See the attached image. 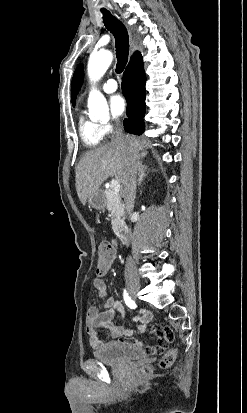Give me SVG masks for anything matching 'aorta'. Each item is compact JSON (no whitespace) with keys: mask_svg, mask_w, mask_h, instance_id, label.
Returning <instances> with one entry per match:
<instances>
[{"mask_svg":"<svg viewBox=\"0 0 247 413\" xmlns=\"http://www.w3.org/2000/svg\"><path fill=\"white\" fill-rule=\"evenodd\" d=\"M113 56L110 51L93 52L88 61V76L91 81H98L107 71ZM89 116L92 119L108 117L109 109L105 97L96 89H92L88 97Z\"/></svg>","mask_w":247,"mask_h":413,"instance_id":"obj_1","label":"aorta"}]
</instances>
